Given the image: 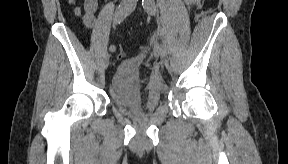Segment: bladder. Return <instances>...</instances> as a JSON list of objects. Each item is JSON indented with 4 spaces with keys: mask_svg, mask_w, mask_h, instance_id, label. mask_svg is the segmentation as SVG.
<instances>
[{
    "mask_svg": "<svg viewBox=\"0 0 288 164\" xmlns=\"http://www.w3.org/2000/svg\"><path fill=\"white\" fill-rule=\"evenodd\" d=\"M141 57L129 58L114 70L109 98L115 108L124 113L140 110L153 112L159 104V94L152 89H144L138 78Z\"/></svg>",
    "mask_w": 288,
    "mask_h": 164,
    "instance_id": "bladder-1",
    "label": "bladder"
}]
</instances>
